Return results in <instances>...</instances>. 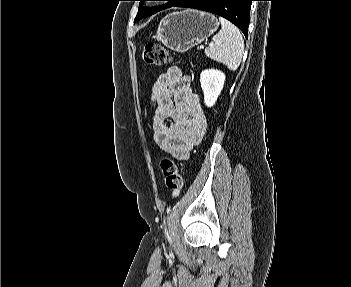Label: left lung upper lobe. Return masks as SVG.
Returning <instances> with one entry per match:
<instances>
[{
	"instance_id": "left-lung-upper-lobe-1",
	"label": "left lung upper lobe",
	"mask_w": 351,
	"mask_h": 287,
	"mask_svg": "<svg viewBox=\"0 0 351 287\" xmlns=\"http://www.w3.org/2000/svg\"><path fill=\"white\" fill-rule=\"evenodd\" d=\"M140 1V5H139V8H138V13H137V16L135 18V22L136 21H139L140 19L142 18H146L148 16H151L161 10H164L166 8H170L172 7L173 5H175L178 1L180 0H161V1H168L167 4L165 5H162V6H159V7H152V8H147V7H144L142 5V3L144 1H152V0H139Z\"/></svg>"
}]
</instances>
